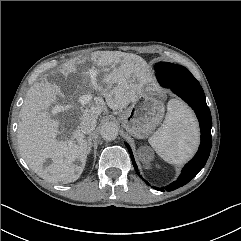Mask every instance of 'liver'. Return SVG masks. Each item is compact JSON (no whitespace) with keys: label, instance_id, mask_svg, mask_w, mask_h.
Segmentation results:
<instances>
[{"label":"liver","instance_id":"1","mask_svg":"<svg viewBox=\"0 0 241 241\" xmlns=\"http://www.w3.org/2000/svg\"><path fill=\"white\" fill-rule=\"evenodd\" d=\"M91 61V69L81 72L82 82L77 85L75 96L65 95L60 86L45 80L35 83L28 90L20 109L17 138L22 157L29 167L38 169L40 175L41 164L50 158L52 164L44 177L52 183L74 182L85 168L88 144L79 128L82 116L92 114L98 117L106 105L112 110L126 108L144 93V87L150 81L147 63L135 54L101 51L94 53ZM75 73V62L64 65L62 74L66 82ZM101 73L103 75L99 78ZM86 87L100 91L106 101L101 97H94L92 102L82 103V97L86 96L84 95L79 97L82 106L78 111L71 110L75 104L67 105L64 113L74 115L77 126L70 140H58L61 123L51 117L49 107L57 101V96L71 101L73 97L83 93Z\"/></svg>","mask_w":241,"mask_h":241}]
</instances>
